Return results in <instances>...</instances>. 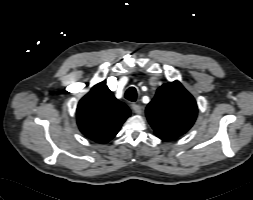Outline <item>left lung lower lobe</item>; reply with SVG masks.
<instances>
[{
  "mask_svg": "<svg viewBox=\"0 0 253 200\" xmlns=\"http://www.w3.org/2000/svg\"><path fill=\"white\" fill-rule=\"evenodd\" d=\"M159 138L163 139V140H173L175 138L170 137V136H158Z\"/></svg>",
  "mask_w": 253,
  "mask_h": 200,
  "instance_id": "left-lung-lower-lobe-1",
  "label": "left lung lower lobe"
}]
</instances>
